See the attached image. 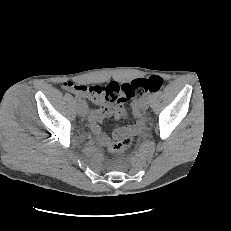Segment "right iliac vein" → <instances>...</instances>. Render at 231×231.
I'll list each match as a JSON object with an SVG mask.
<instances>
[{
  "instance_id": "1",
  "label": "right iliac vein",
  "mask_w": 231,
  "mask_h": 231,
  "mask_svg": "<svg viewBox=\"0 0 231 231\" xmlns=\"http://www.w3.org/2000/svg\"><path fill=\"white\" fill-rule=\"evenodd\" d=\"M77 112L80 116H85L87 114V106L84 102L78 103Z\"/></svg>"
}]
</instances>
